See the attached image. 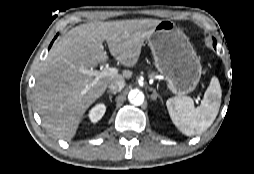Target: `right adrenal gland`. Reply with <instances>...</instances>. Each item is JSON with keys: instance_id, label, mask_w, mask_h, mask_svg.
Instances as JSON below:
<instances>
[{"instance_id": "obj_1", "label": "right adrenal gland", "mask_w": 254, "mask_h": 174, "mask_svg": "<svg viewBox=\"0 0 254 174\" xmlns=\"http://www.w3.org/2000/svg\"><path fill=\"white\" fill-rule=\"evenodd\" d=\"M117 92H115V91H107V94L109 95V98H110V100H111V95L113 94V95H115Z\"/></svg>"}]
</instances>
